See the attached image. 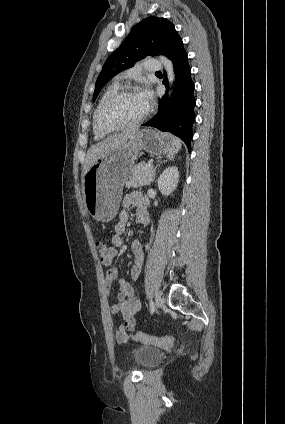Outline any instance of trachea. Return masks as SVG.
<instances>
[{
	"label": "trachea",
	"mask_w": 285,
	"mask_h": 424,
	"mask_svg": "<svg viewBox=\"0 0 285 424\" xmlns=\"http://www.w3.org/2000/svg\"><path fill=\"white\" fill-rule=\"evenodd\" d=\"M156 73H161L160 71H157Z\"/></svg>",
	"instance_id": "3493384b"
}]
</instances>
